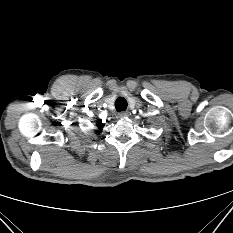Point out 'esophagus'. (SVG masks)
Returning a JSON list of instances; mask_svg holds the SVG:
<instances>
[{
	"instance_id": "1",
	"label": "esophagus",
	"mask_w": 233,
	"mask_h": 233,
	"mask_svg": "<svg viewBox=\"0 0 233 233\" xmlns=\"http://www.w3.org/2000/svg\"><path fill=\"white\" fill-rule=\"evenodd\" d=\"M127 116H129V112L128 111H122V112L119 113V117H121V118H125Z\"/></svg>"
}]
</instances>
